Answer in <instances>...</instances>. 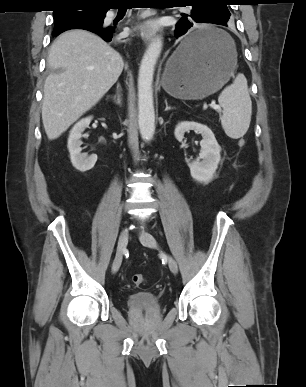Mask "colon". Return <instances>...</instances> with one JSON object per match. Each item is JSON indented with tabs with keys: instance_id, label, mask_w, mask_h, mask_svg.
<instances>
[{
	"instance_id": "5ec220e1",
	"label": "colon",
	"mask_w": 306,
	"mask_h": 387,
	"mask_svg": "<svg viewBox=\"0 0 306 387\" xmlns=\"http://www.w3.org/2000/svg\"><path fill=\"white\" fill-rule=\"evenodd\" d=\"M146 281V278L144 275L142 274H135L133 275L132 277V282L136 285V286H141L145 283Z\"/></svg>"
}]
</instances>
